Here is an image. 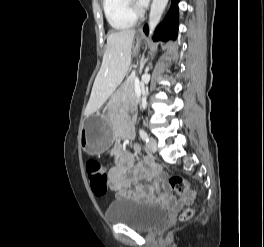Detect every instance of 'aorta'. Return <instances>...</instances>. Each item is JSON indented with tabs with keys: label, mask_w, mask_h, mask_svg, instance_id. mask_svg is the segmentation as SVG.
<instances>
[{
	"label": "aorta",
	"mask_w": 264,
	"mask_h": 247,
	"mask_svg": "<svg viewBox=\"0 0 264 247\" xmlns=\"http://www.w3.org/2000/svg\"><path fill=\"white\" fill-rule=\"evenodd\" d=\"M168 0H153L151 4L150 14H149V30L150 34H153L154 29L158 25L161 16L167 6Z\"/></svg>",
	"instance_id": "aorta-1"
}]
</instances>
